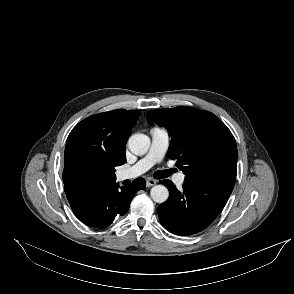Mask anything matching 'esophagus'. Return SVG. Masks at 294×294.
<instances>
[{
    "instance_id": "obj_1",
    "label": "esophagus",
    "mask_w": 294,
    "mask_h": 294,
    "mask_svg": "<svg viewBox=\"0 0 294 294\" xmlns=\"http://www.w3.org/2000/svg\"><path fill=\"white\" fill-rule=\"evenodd\" d=\"M156 183H157V181L154 180V179H152V178H148V179L146 180V186H147V187L154 186Z\"/></svg>"
}]
</instances>
